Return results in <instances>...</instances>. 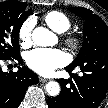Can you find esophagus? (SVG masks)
Instances as JSON below:
<instances>
[{"label": "esophagus", "mask_w": 108, "mask_h": 108, "mask_svg": "<svg viewBox=\"0 0 108 108\" xmlns=\"http://www.w3.org/2000/svg\"><path fill=\"white\" fill-rule=\"evenodd\" d=\"M39 81L40 82H47V81H49V79L44 78V77H39Z\"/></svg>", "instance_id": "esophagus-1"}]
</instances>
